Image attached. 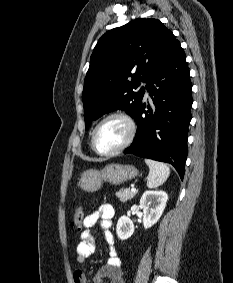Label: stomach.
I'll use <instances>...</instances> for the list:
<instances>
[{"mask_svg": "<svg viewBox=\"0 0 233 283\" xmlns=\"http://www.w3.org/2000/svg\"><path fill=\"white\" fill-rule=\"evenodd\" d=\"M138 175V170L131 165L109 164L102 170L89 169L83 172L78 186L86 192L98 191L104 182L119 185Z\"/></svg>", "mask_w": 233, "mask_h": 283, "instance_id": "stomach-1", "label": "stomach"}]
</instances>
